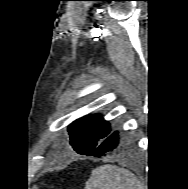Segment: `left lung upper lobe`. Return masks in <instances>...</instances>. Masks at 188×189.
Segmentation results:
<instances>
[{"label": "left lung upper lobe", "mask_w": 188, "mask_h": 189, "mask_svg": "<svg viewBox=\"0 0 188 189\" xmlns=\"http://www.w3.org/2000/svg\"><path fill=\"white\" fill-rule=\"evenodd\" d=\"M70 144L82 155L91 153L110 133V125L99 115L77 119L69 127Z\"/></svg>", "instance_id": "1"}]
</instances>
